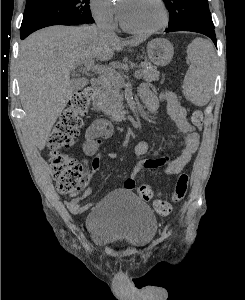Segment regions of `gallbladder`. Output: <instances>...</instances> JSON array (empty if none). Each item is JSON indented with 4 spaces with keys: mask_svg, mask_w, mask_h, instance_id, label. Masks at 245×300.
Wrapping results in <instances>:
<instances>
[{
    "mask_svg": "<svg viewBox=\"0 0 245 300\" xmlns=\"http://www.w3.org/2000/svg\"><path fill=\"white\" fill-rule=\"evenodd\" d=\"M71 83L74 90H79L85 87L87 80L85 78H77V79H72Z\"/></svg>",
    "mask_w": 245,
    "mask_h": 300,
    "instance_id": "bac80fb5",
    "label": "gallbladder"
}]
</instances>
